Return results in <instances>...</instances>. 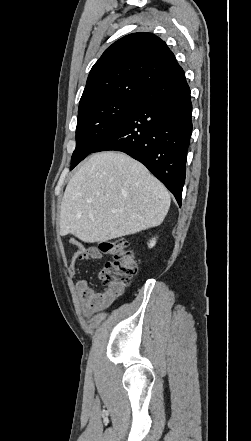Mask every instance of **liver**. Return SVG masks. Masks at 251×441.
<instances>
[{
  "instance_id": "liver-1",
  "label": "liver",
  "mask_w": 251,
  "mask_h": 441,
  "mask_svg": "<svg viewBox=\"0 0 251 441\" xmlns=\"http://www.w3.org/2000/svg\"><path fill=\"white\" fill-rule=\"evenodd\" d=\"M169 207L168 190L144 165L124 153L100 152L66 186L60 234L107 241L160 225Z\"/></svg>"
}]
</instances>
